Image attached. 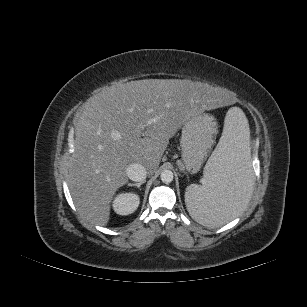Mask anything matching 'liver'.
Wrapping results in <instances>:
<instances>
[{"instance_id":"liver-1","label":"liver","mask_w":307,"mask_h":307,"mask_svg":"<svg viewBox=\"0 0 307 307\" xmlns=\"http://www.w3.org/2000/svg\"><path fill=\"white\" fill-rule=\"evenodd\" d=\"M230 99L213 87L179 79H145L103 89L85 104L75 127L68 186L79 213L106 226L116 191L132 163L156 170L169 140L191 116Z\"/></svg>"}]
</instances>
